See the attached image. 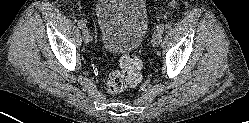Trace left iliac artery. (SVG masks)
Instances as JSON below:
<instances>
[{"label":"left iliac artery","instance_id":"left-iliac-artery-1","mask_svg":"<svg viewBox=\"0 0 249 123\" xmlns=\"http://www.w3.org/2000/svg\"><path fill=\"white\" fill-rule=\"evenodd\" d=\"M157 30L160 31L161 33H163V31H164V24L157 25Z\"/></svg>","mask_w":249,"mask_h":123}]
</instances>
